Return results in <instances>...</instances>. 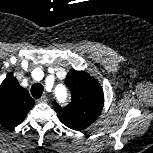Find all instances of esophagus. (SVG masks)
I'll use <instances>...</instances> for the list:
<instances>
[{"mask_svg": "<svg viewBox=\"0 0 153 153\" xmlns=\"http://www.w3.org/2000/svg\"><path fill=\"white\" fill-rule=\"evenodd\" d=\"M48 98L46 96H42L40 99L37 100L38 103H47Z\"/></svg>", "mask_w": 153, "mask_h": 153, "instance_id": "1", "label": "esophagus"}]
</instances>
